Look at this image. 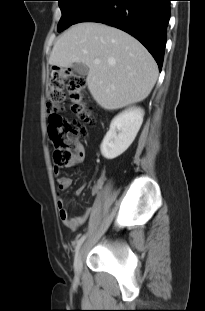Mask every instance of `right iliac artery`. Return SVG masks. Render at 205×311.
I'll list each match as a JSON object with an SVG mask.
<instances>
[{"instance_id": "82829eb1", "label": "right iliac artery", "mask_w": 205, "mask_h": 311, "mask_svg": "<svg viewBox=\"0 0 205 311\" xmlns=\"http://www.w3.org/2000/svg\"><path fill=\"white\" fill-rule=\"evenodd\" d=\"M85 239V236H82L79 240H77L76 242V246H75V252L77 253L80 246L82 245L83 241Z\"/></svg>"}]
</instances>
